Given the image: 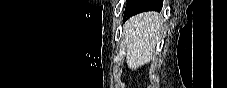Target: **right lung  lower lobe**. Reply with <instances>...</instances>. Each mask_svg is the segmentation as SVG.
Wrapping results in <instances>:
<instances>
[{"instance_id": "98d812e1", "label": "right lung lower lobe", "mask_w": 227, "mask_h": 88, "mask_svg": "<svg viewBox=\"0 0 227 88\" xmlns=\"http://www.w3.org/2000/svg\"><path fill=\"white\" fill-rule=\"evenodd\" d=\"M162 0H133L126 8L123 21L145 11H160Z\"/></svg>"}]
</instances>
